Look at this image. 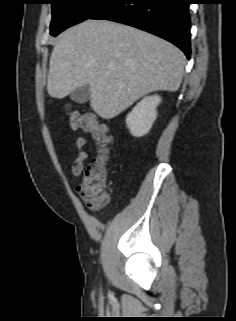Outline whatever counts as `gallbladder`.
<instances>
[{
  "mask_svg": "<svg viewBox=\"0 0 236 321\" xmlns=\"http://www.w3.org/2000/svg\"><path fill=\"white\" fill-rule=\"evenodd\" d=\"M90 88L88 85L76 88L70 97L76 103H85L90 99Z\"/></svg>",
  "mask_w": 236,
  "mask_h": 321,
  "instance_id": "gallbladder-1",
  "label": "gallbladder"
}]
</instances>
